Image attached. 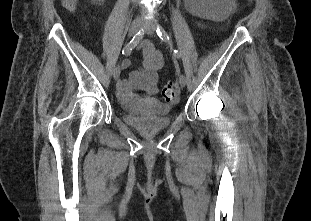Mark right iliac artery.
Masks as SVG:
<instances>
[{
    "mask_svg": "<svg viewBox=\"0 0 311 221\" xmlns=\"http://www.w3.org/2000/svg\"><path fill=\"white\" fill-rule=\"evenodd\" d=\"M143 36H144V30L138 31L134 35L132 40L124 47V49L122 50V54L123 55H129L131 53V51L133 50V48L140 43V41L142 40Z\"/></svg>",
    "mask_w": 311,
    "mask_h": 221,
    "instance_id": "1",
    "label": "right iliac artery"
}]
</instances>
